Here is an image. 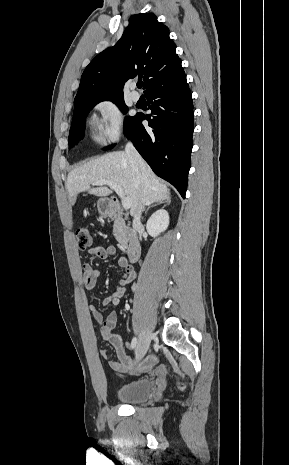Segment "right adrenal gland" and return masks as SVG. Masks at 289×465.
<instances>
[{
	"mask_svg": "<svg viewBox=\"0 0 289 465\" xmlns=\"http://www.w3.org/2000/svg\"><path fill=\"white\" fill-rule=\"evenodd\" d=\"M163 202H165V203H167V204H170V198H166L164 201L157 202V203H155V204L149 206V207L147 208V210L145 211V215L147 214V212L149 211L150 208H153V207H155V206H157V205H159V204H162Z\"/></svg>",
	"mask_w": 289,
	"mask_h": 465,
	"instance_id": "right-adrenal-gland-1",
	"label": "right adrenal gland"
}]
</instances>
